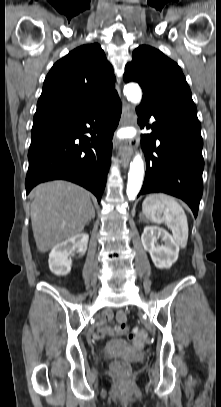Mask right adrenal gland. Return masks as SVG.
I'll use <instances>...</instances> for the list:
<instances>
[{
	"mask_svg": "<svg viewBox=\"0 0 221 407\" xmlns=\"http://www.w3.org/2000/svg\"><path fill=\"white\" fill-rule=\"evenodd\" d=\"M92 209H93V216H92V219H94V218H95V209H94V207H93Z\"/></svg>",
	"mask_w": 221,
	"mask_h": 407,
	"instance_id": "right-adrenal-gland-1",
	"label": "right adrenal gland"
}]
</instances>
